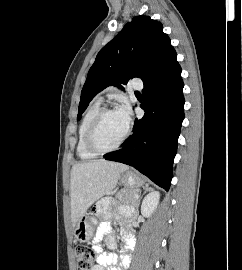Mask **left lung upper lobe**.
<instances>
[{"mask_svg":"<svg viewBox=\"0 0 242 270\" xmlns=\"http://www.w3.org/2000/svg\"><path fill=\"white\" fill-rule=\"evenodd\" d=\"M177 57L160 22L136 16L97 54L81 91L78 119L93 97L108 86L121 89L133 77L147 80Z\"/></svg>","mask_w":242,"mask_h":270,"instance_id":"left-lung-upper-lobe-1","label":"left lung upper lobe"}]
</instances>
